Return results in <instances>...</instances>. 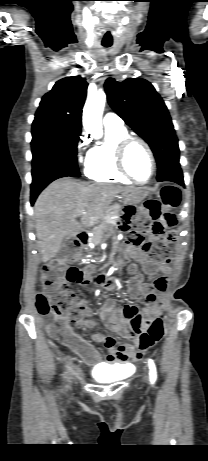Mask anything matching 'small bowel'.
<instances>
[{"mask_svg":"<svg viewBox=\"0 0 208 461\" xmlns=\"http://www.w3.org/2000/svg\"><path fill=\"white\" fill-rule=\"evenodd\" d=\"M122 211L124 213L120 216L122 222H132L134 217H139L140 215V210L137 209L136 204H124ZM163 239V247L170 249L173 241H179L180 234L164 233ZM124 253L128 258L137 260L143 266L146 273H153L158 269L161 276L153 282H144L142 273L134 274L127 283V293L131 299L143 295L146 298L144 307L139 309L135 305H124L117 310L115 301L107 298L100 309V317L111 331L121 335L125 339L138 340L140 333L144 329L142 314L148 318H153L160 312V294L166 290L170 267L162 265L157 268L147 253L131 245L125 247ZM109 276L110 273L108 271H97L92 276V282L97 288L104 285L108 291H114L116 283L113 280L106 279ZM86 288L91 290L93 285L88 283ZM126 306H129L135 312L131 317L125 315ZM73 322L75 326L84 330H88L95 325V321L90 317H82ZM92 338L96 342L103 343L107 348L109 353L104 358L105 362L109 365H121L124 376L132 368L131 362L138 360L140 356V352L136 348H132L130 344L116 346L115 339L102 331L95 332ZM65 346L78 354L88 364H96L102 361L100 355L87 341H80L72 345L65 344Z\"/></svg>","mask_w":208,"mask_h":461,"instance_id":"small-bowel-1","label":"small bowel"}]
</instances>
